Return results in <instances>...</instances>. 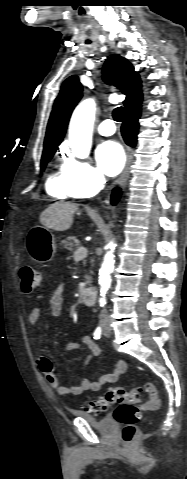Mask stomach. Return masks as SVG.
Listing matches in <instances>:
<instances>
[{"instance_id": "stomach-1", "label": "stomach", "mask_w": 187, "mask_h": 479, "mask_svg": "<svg viewBox=\"0 0 187 479\" xmlns=\"http://www.w3.org/2000/svg\"><path fill=\"white\" fill-rule=\"evenodd\" d=\"M26 247L30 257L38 263L51 261L56 253V241L45 227H34L27 234Z\"/></svg>"}]
</instances>
